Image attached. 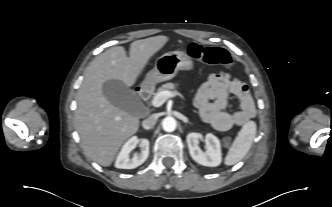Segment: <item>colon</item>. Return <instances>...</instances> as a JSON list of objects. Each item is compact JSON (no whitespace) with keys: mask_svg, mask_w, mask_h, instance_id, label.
<instances>
[{"mask_svg":"<svg viewBox=\"0 0 332 207\" xmlns=\"http://www.w3.org/2000/svg\"><path fill=\"white\" fill-rule=\"evenodd\" d=\"M188 54L206 64L221 65L226 68L232 66V60L229 53L221 48L203 47L198 43H190L187 48ZM224 144L228 146L231 143L230 137H225Z\"/></svg>","mask_w":332,"mask_h":207,"instance_id":"1","label":"colon"}]
</instances>
